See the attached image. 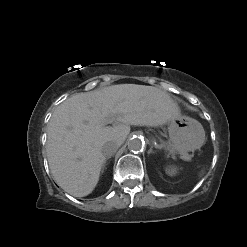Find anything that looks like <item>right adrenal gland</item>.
Listing matches in <instances>:
<instances>
[{
    "mask_svg": "<svg viewBox=\"0 0 247 247\" xmlns=\"http://www.w3.org/2000/svg\"><path fill=\"white\" fill-rule=\"evenodd\" d=\"M111 157H107L104 164H103V167H102V172L103 170L106 168V165H107V160H109Z\"/></svg>",
    "mask_w": 247,
    "mask_h": 247,
    "instance_id": "1",
    "label": "right adrenal gland"
}]
</instances>
